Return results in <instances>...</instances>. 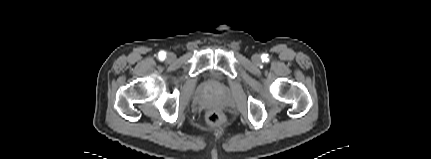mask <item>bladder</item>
Segmentation results:
<instances>
[{"label":"bladder","mask_w":431,"mask_h":159,"mask_svg":"<svg viewBox=\"0 0 431 159\" xmlns=\"http://www.w3.org/2000/svg\"><path fill=\"white\" fill-rule=\"evenodd\" d=\"M211 76H212V77H216V76H217V74H216V73H214V72H212V73H211Z\"/></svg>","instance_id":"31cf9c89"}]
</instances>
